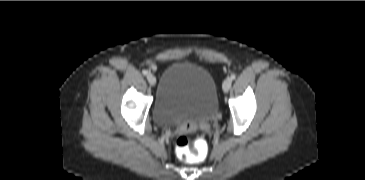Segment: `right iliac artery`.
<instances>
[{
    "label": "right iliac artery",
    "instance_id": "82829eb1",
    "mask_svg": "<svg viewBox=\"0 0 365 180\" xmlns=\"http://www.w3.org/2000/svg\"><path fill=\"white\" fill-rule=\"evenodd\" d=\"M142 73H143L144 75H148V71H147V70H143V71H142Z\"/></svg>",
    "mask_w": 365,
    "mask_h": 180
}]
</instances>
